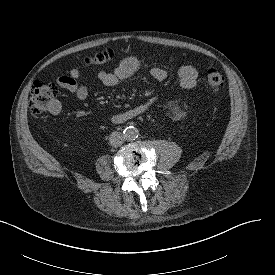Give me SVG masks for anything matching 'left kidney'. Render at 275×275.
<instances>
[{
  "label": "left kidney",
  "instance_id": "5707ae66",
  "mask_svg": "<svg viewBox=\"0 0 275 275\" xmlns=\"http://www.w3.org/2000/svg\"><path fill=\"white\" fill-rule=\"evenodd\" d=\"M173 113L176 115V117H177L178 119L184 116L183 113H181V111H180L179 108H177V107H175V108L173 109Z\"/></svg>",
  "mask_w": 275,
  "mask_h": 275
}]
</instances>
